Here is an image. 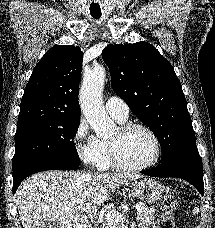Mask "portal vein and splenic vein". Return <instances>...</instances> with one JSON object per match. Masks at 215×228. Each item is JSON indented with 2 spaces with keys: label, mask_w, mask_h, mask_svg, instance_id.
<instances>
[{
  "label": "portal vein and splenic vein",
  "mask_w": 215,
  "mask_h": 228,
  "mask_svg": "<svg viewBox=\"0 0 215 228\" xmlns=\"http://www.w3.org/2000/svg\"><path fill=\"white\" fill-rule=\"evenodd\" d=\"M135 208L137 212H140V210H145L143 204H137ZM84 212H87L89 216H92V214H94V210H92L91 204H88V206H84ZM104 216L107 222H122V220H124V216H122V214H118V212H107V214H104Z\"/></svg>",
  "instance_id": "portal-vein-and-splenic-vein-1"
}]
</instances>
